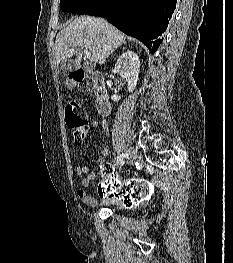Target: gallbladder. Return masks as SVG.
Masks as SVG:
<instances>
[{"label":"gallbladder","instance_id":"bac80fb5","mask_svg":"<svg viewBox=\"0 0 233 263\" xmlns=\"http://www.w3.org/2000/svg\"><path fill=\"white\" fill-rule=\"evenodd\" d=\"M72 66H73L72 62H67V61L62 60L60 63V69L63 71L71 70Z\"/></svg>","mask_w":233,"mask_h":263}]
</instances>
